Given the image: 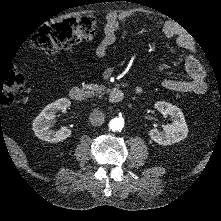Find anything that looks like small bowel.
I'll return each mask as SVG.
<instances>
[{"mask_svg":"<svg viewBox=\"0 0 221 221\" xmlns=\"http://www.w3.org/2000/svg\"><path fill=\"white\" fill-rule=\"evenodd\" d=\"M133 15L130 11L123 12H111L107 15L106 24L103 28L104 37L95 48V54L97 57L102 58L109 52L110 47L116 42V32L119 25L124 20ZM165 34L168 37H174L176 32L171 27L165 28ZM178 45L185 51L190 52L192 50V42L186 38H177ZM184 67L190 77V79H164L162 85L165 89L183 93L203 94L207 85L205 82L206 72L200 63L192 55H187L184 59ZM171 67L165 63L157 64V72L161 73ZM157 74L151 76L155 78Z\"/></svg>","mask_w":221,"mask_h":221,"instance_id":"obj_1","label":"small bowel"}]
</instances>
